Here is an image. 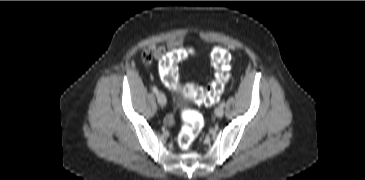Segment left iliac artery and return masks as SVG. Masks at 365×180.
Instances as JSON below:
<instances>
[{"label":"left iliac artery","instance_id":"1","mask_svg":"<svg viewBox=\"0 0 365 180\" xmlns=\"http://www.w3.org/2000/svg\"><path fill=\"white\" fill-rule=\"evenodd\" d=\"M220 106L224 107V106H225V101H222V102L220 103Z\"/></svg>","mask_w":365,"mask_h":180}]
</instances>
